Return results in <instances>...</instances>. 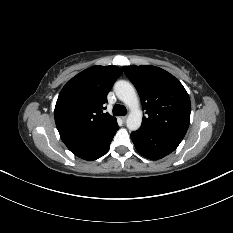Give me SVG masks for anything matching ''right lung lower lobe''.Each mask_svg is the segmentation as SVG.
<instances>
[{
  "instance_id": "obj_1",
  "label": "right lung lower lobe",
  "mask_w": 233,
  "mask_h": 233,
  "mask_svg": "<svg viewBox=\"0 0 233 233\" xmlns=\"http://www.w3.org/2000/svg\"><path fill=\"white\" fill-rule=\"evenodd\" d=\"M119 129L118 124L102 130L82 141L67 144L68 149L84 160H96L103 156L109 149L110 143Z\"/></svg>"
}]
</instances>
